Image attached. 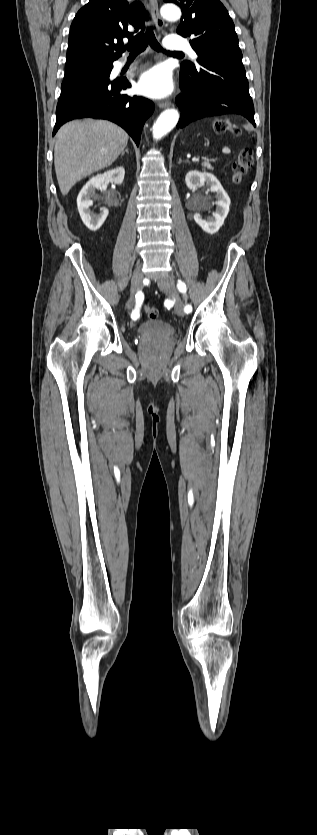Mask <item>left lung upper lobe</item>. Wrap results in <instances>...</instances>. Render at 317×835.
Listing matches in <instances>:
<instances>
[{
	"label": "left lung upper lobe",
	"mask_w": 317,
	"mask_h": 835,
	"mask_svg": "<svg viewBox=\"0 0 317 835\" xmlns=\"http://www.w3.org/2000/svg\"><path fill=\"white\" fill-rule=\"evenodd\" d=\"M181 7L183 18L177 33L191 36L190 44L198 63L209 58H242L235 26L218 0H164ZM196 69L191 62L181 64V72Z\"/></svg>",
	"instance_id": "obj_1"
}]
</instances>
